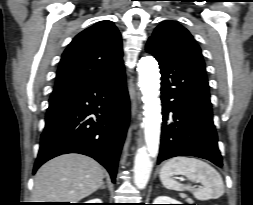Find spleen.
<instances>
[{"label":"spleen","mask_w":253,"mask_h":205,"mask_svg":"<svg viewBox=\"0 0 253 205\" xmlns=\"http://www.w3.org/2000/svg\"><path fill=\"white\" fill-rule=\"evenodd\" d=\"M173 174L185 175L192 182H199L202 187L183 185L171 178ZM162 184L171 190L190 191L198 200L219 198L224 194V183L219 172L208 163L190 157H174L168 160L160 170Z\"/></svg>","instance_id":"obj_1"}]
</instances>
